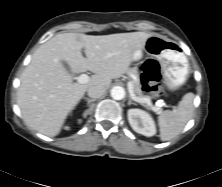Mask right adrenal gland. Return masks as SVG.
Returning a JSON list of instances; mask_svg holds the SVG:
<instances>
[{"label":"right adrenal gland","instance_id":"obj_1","mask_svg":"<svg viewBox=\"0 0 222 187\" xmlns=\"http://www.w3.org/2000/svg\"><path fill=\"white\" fill-rule=\"evenodd\" d=\"M83 99L87 101L88 106H90V104L96 100V99H89L86 97H84ZM84 114H89V109L86 110Z\"/></svg>","mask_w":222,"mask_h":187}]
</instances>
